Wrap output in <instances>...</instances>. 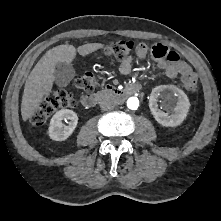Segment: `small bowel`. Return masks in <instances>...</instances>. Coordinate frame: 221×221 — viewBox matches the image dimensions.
I'll return each instance as SVG.
<instances>
[{
	"instance_id": "small-bowel-1",
	"label": "small bowel",
	"mask_w": 221,
	"mask_h": 221,
	"mask_svg": "<svg viewBox=\"0 0 221 221\" xmlns=\"http://www.w3.org/2000/svg\"><path fill=\"white\" fill-rule=\"evenodd\" d=\"M149 51L146 43L138 44L136 55L139 59H144ZM152 56L158 63V66L164 70L169 79H174L178 75H186L192 73V69L185 61L180 60L178 54L163 44L153 46L151 50ZM132 70V59L129 57L123 60L119 66L122 74H129Z\"/></svg>"
}]
</instances>
